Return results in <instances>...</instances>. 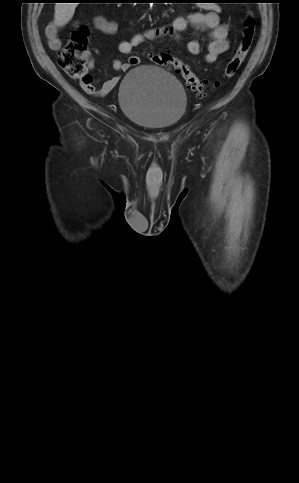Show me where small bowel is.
Returning <instances> with one entry per match:
<instances>
[{
    "label": "small bowel",
    "instance_id": "1",
    "mask_svg": "<svg viewBox=\"0 0 299 483\" xmlns=\"http://www.w3.org/2000/svg\"><path fill=\"white\" fill-rule=\"evenodd\" d=\"M221 7L218 5H211L206 10L196 11L189 14L177 16L171 23L158 27L149 28L143 32L135 34L130 40L122 41L119 44V52L124 55H130L133 49L146 41H156L164 38H172L177 41H184L183 35L189 25H193L199 29L207 31V48L204 59L207 63H215L219 56L229 49V26L220 22ZM93 26L98 31L112 35L118 30V23L110 21L103 16H97L93 20ZM46 37L49 46L57 50L61 46V40L58 35V25L50 23L46 28ZM185 46L190 54H200V43L196 39L184 41ZM137 56H130L126 62L120 60L113 61V68L121 73L126 72L133 66L139 63ZM89 66H93V60L89 58ZM121 76L116 75L104 82L99 94L104 95L109 93L120 81ZM86 91L93 93L94 88Z\"/></svg>",
    "mask_w": 299,
    "mask_h": 483
}]
</instances>
